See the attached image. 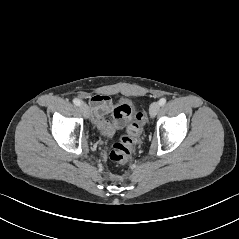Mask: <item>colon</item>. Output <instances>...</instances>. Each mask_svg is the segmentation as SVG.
I'll use <instances>...</instances> for the list:
<instances>
[{
    "mask_svg": "<svg viewBox=\"0 0 239 239\" xmlns=\"http://www.w3.org/2000/svg\"><path fill=\"white\" fill-rule=\"evenodd\" d=\"M136 119L137 122L127 127L126 135L121 136L119 140L113 144L109 155L112 161L125 164L130 160L134 143L141 132L139 123L143 120L142 114H137Z\"/></svg>",
    "mask_w": 239,
    "mask_h": 239,
    "instance_id": "1",
    "label": "colon"
}]
</instances>
